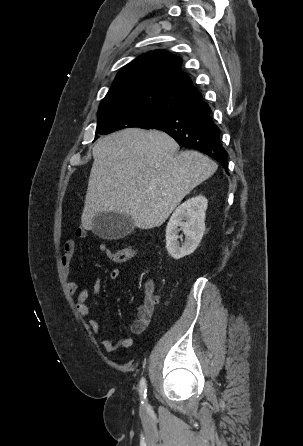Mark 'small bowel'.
Returning <instances> with one entry per match:
<instances>
[{
	"label": "small bowel",
	"instance_id": "1",
	"mask_svg": "<svg viewBox=\"0 0 303 446\" xmlns=\"http://www.w3.org/2000/svg\"><path fill=\"white\" fill-rule=\"evenodd\" d=\"M75 235L78 238H84L87 235V231L84 227L81 226L77 228ZM104 249H106L105 243L103 242L99 243L98 250L102 252ZM75 250H76L75 241L73 239H68L63 247V254L61 256V267L66 279V286L68 292L70 294H77V299L75 303L76 310L78 311L79 314L83 316H90L91 309L87 304V300L89 297V288L88 287L81 288L76 280L69 278L70 267L73 256L75 254ZM118 275H119V270L116 268L112 269L109 274V279L115 280L118 277ZM153 290H154L153 284L148 283L145 287V300L141 305L138 306L136 319L131 325V332L133 334L142 333L152 321L154 315V304L151 301V295L153 293ZM100 293H101V282L100 279L96 277L92 285V295L95 304H98ZM88 323L93 332L97 334L105 333L104 328L98 321L91 319L89 320ZM131 344H132L131 337H127L119 341H112L110 339H105L101 342L103 349L108 353L115 352L120 348H128L129 346H131Z\"/></svg>",
	"mask_w": 303,
	"mask_h": 446
}]
</instances>
